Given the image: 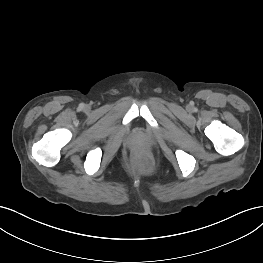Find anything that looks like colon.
I'll list each match as a JSON object with an SVG mask.
<instances>
[{"mask_svg":"<svg viewBox=\"0 0 263 263\" xmlns=\"http://www.w3.org/2000/svg\"><path fill=\"white\" fill-rule=\"evenodd\" d=\"M146 164L144 162H141V166H145Z\"/></svg>","mask_w":263,"mask_h":263,"instance_id":"1","label":"colon"}]
</instances>
